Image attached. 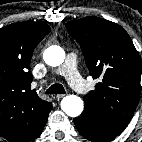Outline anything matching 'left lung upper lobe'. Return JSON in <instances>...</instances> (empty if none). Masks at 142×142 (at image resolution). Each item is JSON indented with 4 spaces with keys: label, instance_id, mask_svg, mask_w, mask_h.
Instances as JSON below:
<instances>
[{
    "label": "left lung upper lobe",
    "instance_id": "obj_1",
    "mask_svg": "<svg viewBox=\"0 0 142 142\" xmlns=\"http://www.w3.org/2000/svg\"><path fill=\"white\" fill-rule=\"evenodd\" d=\"M82 48L95 90L83 97L85 108L106 124L124 130L131 121L141 91V61L127 32L99 17L66 24Z\"/></svg>",
    "mask_w": 142,
    "mask_h": 142
}]
</instances>
